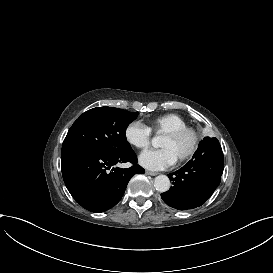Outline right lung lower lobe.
<instances>
[{
    "label": "right lung lower lobe",
    "instance_id": "1",
    "mask_svg": "<svg viewBox=\"0 0 273 273\" xmlns=\"http://www.w3.org/2000/svg\"><path fill=\"white\" fill-rule=\"evenodd\" d=\"M125 162L133 166L111 169ZM61 168L65 185L72 197L83 208L95 213L105 212L115 206L131 177L144 173L132 149L120 154L90 150L72 152L62 156Z\"/></svg>",
    "mask_w": 273,
    "mask_h": 273
}]
</instances>
